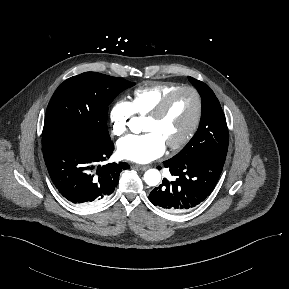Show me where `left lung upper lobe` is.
<instances>
[{"label":"left lung upper lobe","instance_id":"5c2ea615","mask_svg":"<svg viewBox=\"0 0 289 289\" xmlns=\"http://www.w3.org/2000/svg\"><path fill=\"white\" fill-rule=\"evenodd\" d=\"M188 79L201 96V121L193 138L172 159L185 161L202 154L226 155L228 128L221 105L209 86L192 77Z\"/></svg>","mask_w":289,"mask_h":289}]
</instances>
